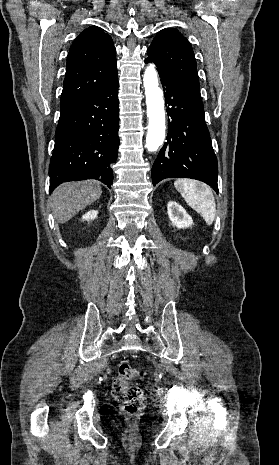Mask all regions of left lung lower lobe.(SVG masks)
I'll return each instance as SVG.
<instances>
[{"label":"left lung lower lobe","mask_w":279,"mask_h":465,"mask_svg":"<svg viewBox=\"0 0 279 465\" xmlns=\"http://www.w3.org/2000/svg\"><path fill=\"white\" fill-rule=\"evenodd\" d=\"M158 73L171 121L167 142L152 167L153 185L165 178L184 177L203 181L218 192L217 159L205 124L200 94L174 78Z\"/></svg>","instance_id":"obj_1"}]
</instances>
